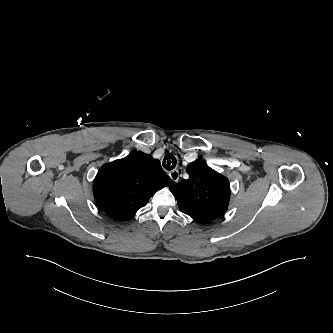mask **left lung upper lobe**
I'll use <instances>...</instances> for the list:
<instances>
[{
	"label": "left lung upper lobe",
	"instance_id": "obj_1",
	"mask_svg": "<svg viewBox=\"0 0 333 333\" xmlns=\"http://www.w3.org/2000/svg\"><path fill=\"white\" fill-rule=\"evenodd\" d=\"M189 179L170 187L180 210L224 213L230 199V184L226 177L198 159L186 168Z\"/></svg>",
	"mask_w": 333,
	"mask_h": 333
}]
</instances>
